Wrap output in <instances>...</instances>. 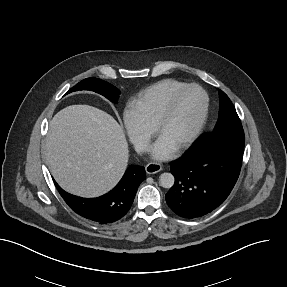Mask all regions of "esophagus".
<instances>
[{
  "label": "esophagus",
  "instance_id": "1",
  "mask_svg": "<svg viewBox=\"0 0 287 287\" xmlns=\"http://www.w3.org/2000/svg\"><path fill=\"white\" fill-rule=\"evenodd\" d=\"M147 174H155L162 170V165L160 163L152 162L145 167Z\"/></svg>",
  "mask_w": 287,
  "mask_h": 287
}]
</instances>
